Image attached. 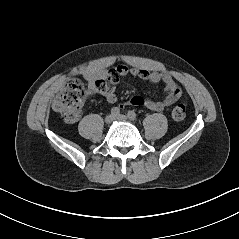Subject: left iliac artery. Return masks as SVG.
Masks as SVG:
<instances>
[{
  "label": "left iliac artery",
  "instance_id": "obj_1",
  "mask_svg": "<svg viewBox=\"0 0 239 239\" xmlns=\"http://www.w3.org/2000/svg\"><path fill=\"white\" fill-rule=\"evenodd\" d=\"M127 115H128V117H129L130 119H132V120H135V119L137 118V115H136V113H135L134 111H129V112L127 113Z\"/></svg>",
  "mask_w": 239,
  "mask_h": 239
}]
</instances>
